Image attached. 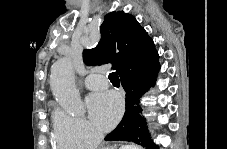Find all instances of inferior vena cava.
Masks as SVG:
<instances>
[{"instance_id": "602c4592", "label": "inferior vena cava", "mask_w": 227, "mask_h": 149, "mask_svg": "<svg viewBox=\"0 0 227 149\" xmlns=\"http://www.w3.org/2000/svg\"><path fill=\"white\" fill-rule=\"evenodd\" d=\"M94 137L96 138V143L97 144L100 143L102 141V139H103V135L100 134V133H95Z\"/></svg>"}]
</instances>
